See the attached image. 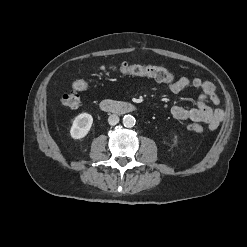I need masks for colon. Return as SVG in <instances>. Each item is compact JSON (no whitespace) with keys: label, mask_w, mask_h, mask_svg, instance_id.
I'll use <instances>...</instances> for the list:
<instances>
[{"label":"colon","mask_w":247,"mask_h":247,"mask_svg":"<svg viewBox=\"0 0 247 247\" xmlns=\"http://www.w3.org/2000/svg\"><path fill=\"white\" fill-rule=\"evenodd\" d=\"M111 70L119 72L123 75L149 77L164 83H172L175 81V77L170 71L159 66L132 65L123 63L117 67L111 68ZM89 84V81L86 79L75 80L72 84L74 90L66 92L62 95V104L69 108L78 107L80 105V97L77 91L86 90L89 87ZM188 129L194 133H201L203 131V126L199 123H192L188 126Z\"/></svg>","instance_id":"colon-1"}]
</instances>
